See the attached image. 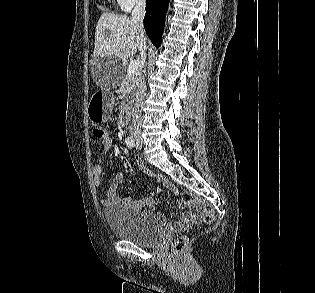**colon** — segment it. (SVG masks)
I'll return each mask as SVG.
<instances>
[{
    "instance_id": "5ec220e1",
    "label": "colon",
    "mask_w": 315,
    "mask_h": 293,
    "mask_svg": "<svg viewBox=\"0 0 315 293\" xmlns=\"http://www.w3.org/2000/svg\"><path fill=\"white\" fill-rule=\"evenodd\" d=\"M93 135L97 139H104L107 136V130L102 127V126H96L93 129ZM182 201L186 204H194L198 207L201 208L203 216H204V221L205 222H211L214 219L215 215V210L212 205L210 204H203L201 203L192 193L186 192L183 194ZM187 243V238L186 236H181L179 237L173 244V252L175 254L179 253L184 249Z\"/></svg>"
}]
</instances>
